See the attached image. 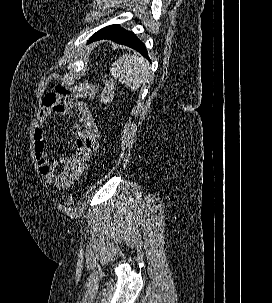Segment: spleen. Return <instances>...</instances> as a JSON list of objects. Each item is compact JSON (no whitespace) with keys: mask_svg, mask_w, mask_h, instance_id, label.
<instances>
[{"mask_svg":"<svg viewBox=\"0 0 272 303\" xmlns=\"http://www.w3.org/2000/svg\"><path fill=\"white\" fill-rule=\"evenodd\" d=\"M110 71L115 79L133 91L149 80V63L138 55H123L112 64Z\"/></svg>","mask_w":272,"mask_h":303,"instance_id":"1","label":"spleen"}]
</instances>
